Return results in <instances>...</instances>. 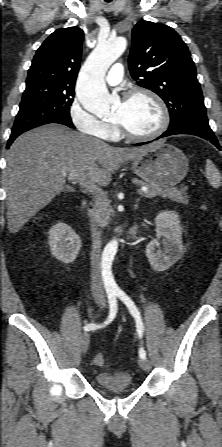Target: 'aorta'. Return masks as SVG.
Here are the masks:
<instances>
[{
    "label": "aorta",
    "instance_id": "obj_1",
    "mask_svg": "<svg viewBox=\"0 0 222 447\" xmlns=\"http://www.w3.org/2000/svg\"><path fill=\"white\" fill-rule=\"evenodd\" d=\"M127 40L120 36L99 43L85 61L79 75L77 98L88 112L102 117L108 115L115 100L105 86L104 77L110 65L125 51ZM118 249L117 240L110 241L103 252V259L111 263ZM106 277L112 281L111 272Z\"/></svg>",
    "mask_w": 222,
    "mask_h": 447
}]
</instances>
